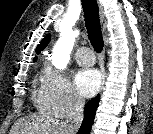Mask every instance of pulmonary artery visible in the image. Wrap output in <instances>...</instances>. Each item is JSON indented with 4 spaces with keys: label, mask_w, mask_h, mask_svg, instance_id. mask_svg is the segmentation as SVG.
<instances>
[{
    "label": "pulmonary artery",
    "mask_w": 153,
    "mask_h": 134,
    "mask_svg": "<svg viewBox=\"0 0 153 134\" xmlns=\"http://www.w3.org/2000/svg\"><path fill=\"white\" fill-rule=\"evenodd\" d=\"M76 61L81 66H92L95 62V57L88 47H81L76 52Z\"/></svg>",
    "instance_id": "1"
}]
</instances>
